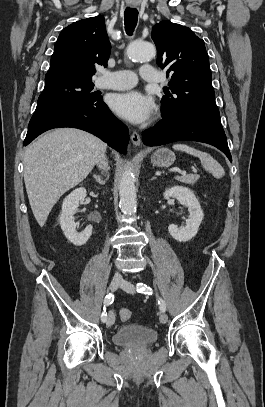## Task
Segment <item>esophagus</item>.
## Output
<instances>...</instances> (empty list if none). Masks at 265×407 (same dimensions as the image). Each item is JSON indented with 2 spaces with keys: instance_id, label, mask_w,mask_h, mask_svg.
<instances>
[{
  "instance_id": "obj_1",
  "label": "esophagus",
  "mask_w": 265,
  "mask_h": 407,
  "mask_svg": "<svg viewBox=\"0 0 265 407\" xmlns=\"http://www.w3.org/2000/svg\"><path fill=\"white\" fill-rule=\"evenodd\" d=\"M131 141L133 145L139 146L141 144V137L138 132L134 131L131 135Z\"/></svg>"
}]
</instances>
